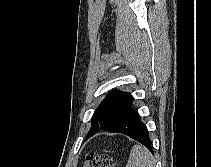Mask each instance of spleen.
<instances>
[{
    "instance_id": "spleen-1",
    "label": "spleen",
    "mask_w": 211,
    "mask_h": 167,
    "mask_svg": "<svg viewBox=\"0 0 211 167\" xmlns=\"http://www.w3.org/2000/svg\"><path fill=\"white\" fill-rule=\"evenodd\" d=\"M126 167H155L152 154L141 145H135L131 149Z\"/></svg>"
}]
</instances>
